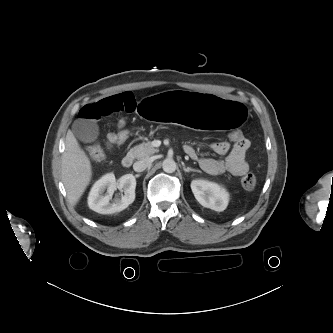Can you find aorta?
I'll use <instances>...</instances> for the list:
<instances>
[{
    "label": "aorta",
    "instance_id": "762f6f07",
    "mask_svg": "<svg viewBox=\"0 0 333 333\" xmlns=\"http://www.w3.org/2000/svg\"><path fill=\"white\" fill-rule=\"evenodd\" d=\"M162 168L166 173H173L175 172L177 165L173 159L168 158L163 161Z\"/></svg>",
    "mask_w": 333,
    "mask_h": 333
}]
</instances>
